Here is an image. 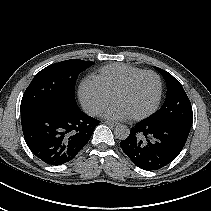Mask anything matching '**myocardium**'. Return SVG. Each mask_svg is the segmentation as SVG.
<instances>
[{
	"mask_svg": "<svg viewBox=\"0 0 211 211\" xmlns=\"http://www.w3.org/2000/svg\"><path fill=\"white\" fill-rule=\"evenodd\" d=\"M146 75H152L156 78L157 83H158V95H157L154 105L149 110H147L144 113L131 116V118L134 120L145 119V118L151 116L152 114H154L157 111V109L159 108V105L162 100V95H163V82H162L160 75L151 70L143 71V72L136 74V75L132 76L131 78H129L126 82H124L122 85H120L112 94V99H114L118 94L128 90L137 80H139L140 78H142L143 76H146Z\"/></svg>",
	"mask_w": 211,
	"mask_h": 211,
	"instance_id": "myocardium-1",
	"label": "myocardium"
}]
</instances>
